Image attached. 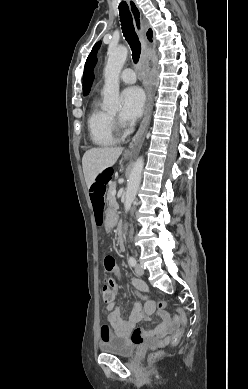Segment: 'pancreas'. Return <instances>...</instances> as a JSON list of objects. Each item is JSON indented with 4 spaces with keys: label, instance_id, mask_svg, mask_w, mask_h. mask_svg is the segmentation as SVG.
<instances>
[{
    "label": "pancreas",
    "instance_id": "1",
    "mask_svg": "<svg viewBox=\"0 0 248 389\" xmlns=\"http://www.w3.org/2000/svg\"><path fill=\"white\" fill-rule=\"evenodd\" d=\"M114 191H116V183L111 182V183H109V190L107 193V202H108L110 208H112V209H114L117 206L115 196L113 195Z\"/></svg>",
    "mask_w": 248,
    "mask_h": 389
}]
</instances>
